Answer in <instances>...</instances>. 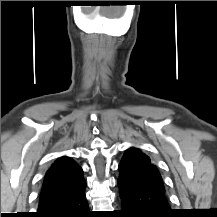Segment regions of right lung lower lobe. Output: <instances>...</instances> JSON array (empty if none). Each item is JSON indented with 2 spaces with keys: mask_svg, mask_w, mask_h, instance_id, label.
<instances>
[{
  "mask_svg": "<svg viewBox=\"0 0 217 217\" xmlns=\"http://www.w3.org/2000/svg\"><path fill=\"white\" fill-rule=\"evenodd\" d=\"M32 217H91L85 189L72 196L39 205Z\"/></svg>",
  "mask_w": 217,
  "mask_h": 217,
  "instance_id": "right-lung-lower-lobe-1",
  "label": "right lung lower lobe"
}]
</instances>
